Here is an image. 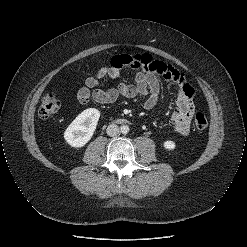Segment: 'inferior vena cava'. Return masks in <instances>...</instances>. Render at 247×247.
<instances>
[{
  "label": "inferior vena cava",
  "instance_id": "obj_1",
  "mask_svg": "<svg viewBox=\"0 0 247 247\" xmlns=\"http://www.w3.org/2000/svg\"><path fill=\"white\" fill-rule=\"evenodd\" d=\"M107 135L116 136L119 133V127L116 124H110L106 129Z\"/></svg>",
  "mask_w": 247,
  "mask_h": 247
}]
</instances>
